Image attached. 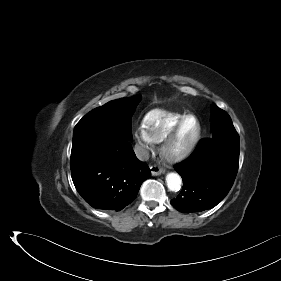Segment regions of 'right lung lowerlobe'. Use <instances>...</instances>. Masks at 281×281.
I'll list each match as a JSON object with an SVG mask.
<instances>
[{
	"label": "right lung lower lobe",
	"mask_w": 281,
	"mask_h": 281,
	"mask_svg": "<svg viewBox=\"0 0 281 281\" xmlns=\"http://www.w3.org/2000/svg\"><path fill=\"white\" fill-rule=\"evenodd\" d=\"M71 176L78 193L93 208L121 210L137 196L151 176L128 139L111 135L72 145Z\"/></svg>",
	"instance_id": "1"
}]
</instances>
